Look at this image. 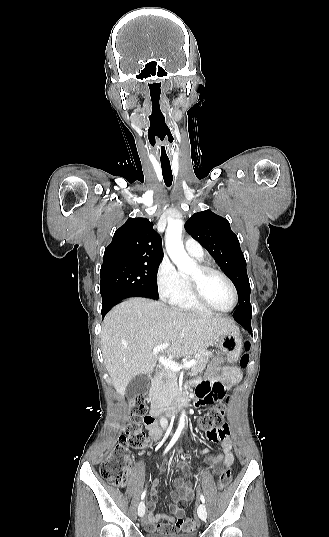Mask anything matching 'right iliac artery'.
<instances>
[{"label": "right iliac artery", "instance_id": "82829eb1", "mask_svg": "<svg viewBox=\"0 0 329 537\" xmlns=\"http://www.w3.org/2000/svg\"><path fill=\"white\" fill-rule=\"evenodd\" d=\"M181 434V429L178 428L174 434V436L172 437L170 443L168 444L167 448L165 449L164 453H166L175 443L176 441L178 440L179 436ZM146 496V490H144L142 492V495H141V499L143 500Z\"/></svg>", "mask_w": 329, "mask_h": 537}]
</instances>
